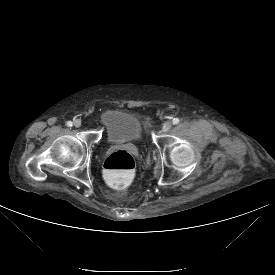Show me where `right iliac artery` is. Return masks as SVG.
<instances>
[{
	"label": "right iliac artery",
	"mask_w": 275,
	"mask_h": 275,
	"mask_svg": "<svg viewBox=\"0 0 275 275\" xmlns=\"http://www.w3.org/2000/svg\"><path fill=\"white\" fill-rule=\"evenodd\" d=\"M68 127H72L73 123L71 121H68L66 124Z\"/></svg>",
	"instance_id": "82829eb1"
}]
</instances>
